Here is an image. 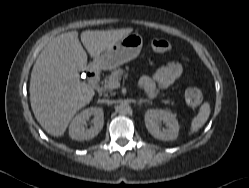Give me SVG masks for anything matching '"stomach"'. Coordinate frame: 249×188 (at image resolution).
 <instances>
[{
  "instance_id": "stomach-1",
  "label": "stomach",
  "mask_w": 249,
  "mask_h": 188,
  "mask_svg": "<svg viewBox=\"0 0 249 188\" xmlns=\"http://www.w3.org/2000/svg\"><path fill=\"white\" fill-rule=\"evenodd\" d=\"M143 45V38L138 33L129 34L95 58L93 68L96 70H112L136 58Z\"/></svg>"
}]
</instances>
